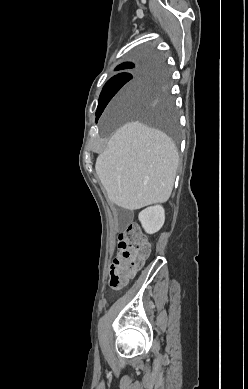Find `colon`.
<instances>
[{
	"label": "colon",
	"mask_w": 248,
	"mask_h": 389,
	"mask_svg": "<svg viewBox=\"0 0 248 389\" xmlns=\"http://www.w3.org/2000/svg\"><path fill=\"white\" fill-rule=\"evenodd\" d=\"M118 257L110 266V286L122 288L134 277L150 253V243L137 224H130L118 237Z\"/></svg>",
	"instance_id": "colon-1"
}]
</instances>
